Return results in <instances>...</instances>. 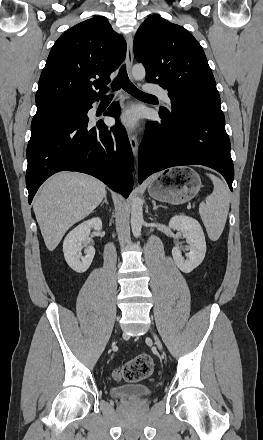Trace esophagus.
<instances>
[{
	"mask_svg": "<svg viewBox=\"0 0 263 440\" xmlns=\"http://www.w3.org/2000/svg\"><path fill=\"white\" fill-rule=\"evenodd\" d=\"M126 42H127L126 65H127L128 74L131 75V68L133 65V38L131 35L127 36ZM129 142L131 145L133 155L136 158L138 154L139 143H138L137 135L132 131L129 132Z\"/></svg>",
	"mask_w": 263,
	"mask_h": 440,
	"instance_id": "34e87169",
	"label": "esophagus"
}]
</instances>
